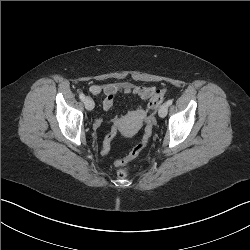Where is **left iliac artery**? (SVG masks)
<instances>
[{"label": "left iliac artery", "mask_w": 250, "mask_h": 250, "mask_svg": "<svg viewBox=\"0 0 250 250\" xmlns=\"http://www.w3.org/2000/svg\"><path fill=\"white\" fill-rule=\"evenodd\" d=\"M166 104H167V106L172 105V100H168V101L166 102Z\"/></svg>", "instance_id": "44dca946"}]
</instances>
